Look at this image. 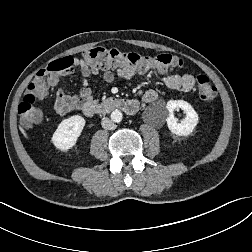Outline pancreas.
<instances>
[{
    "label": "pancreas",
    "mask_w": 252,
    "mask_h": 252,
    "mask_svg": "<svg viewBox=\"0 0 252 252\" xmlns=\"http://www.w3.org/2000/svg\"><path fill=\"white\" fill-rule=\"evenodd\" d=\"M110 101H113V99H112V98L106 99V100L104 101V103H107V102H110Z\"/></svg>",
    "instance_id": "obj_1"
}]
</instances>
